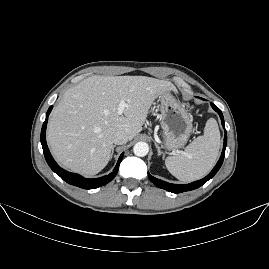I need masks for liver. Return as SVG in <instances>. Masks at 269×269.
I'll use <instances>...</instances> for the list:
<instances>
[{"mask_svg":"<svg viewBox=\"0 0 269 269\" xmlns=\"http://www.w3.org/2000/svg\"><path fill=\"white\" fill-rule=\"evenodd\" d=\"M175 86L146 76H92L69 88L55 108L47 140L56 159L85 175L100 172L109 162L112 136L124 131L128 140L142 131L160 95ZM129 105L122 112L120 103Z\"/></svg>","mask_w":269,"mask_h":269,"instance_id":"6515ba94","label":"liver"}]
</instances>
